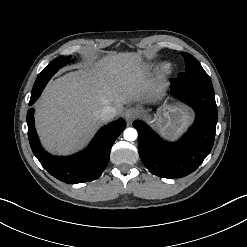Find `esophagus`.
<instances>
[{"instance_id": "obj_1", "label": "esophagus", "mask_w": 247, "mask_h": 247, "mask_svg": "<svg viewBox=\"0 0 247 247\" xmlns=\"http://www.w3.org/2000/svg\"><path fill=\"white\" fill-rule=\"evenodd\" d=\"M137 116V111L136 109L134 108H128L126 111H125V119L127 121H131L132 119H134L135 117Z\"/></svg>"}]
</instances>
